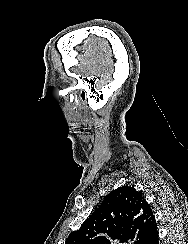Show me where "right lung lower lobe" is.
<instances>
[{
    "instance_id": "98d812e1",
    "label": "right lung lower lobe",
    "mask_w": 188,
    "mask_h": 244,
    "mask_svg": "<svg viewBox=\"0 0 188 244\" xmlns=\"http://www.w3.org/2000/svg\"><path fill=\"white\" fill-rule=\"evenodd\" d=\"M143 244H159L157 225L152 228L146 241Z\"/></svg>"
}]
</instances>
